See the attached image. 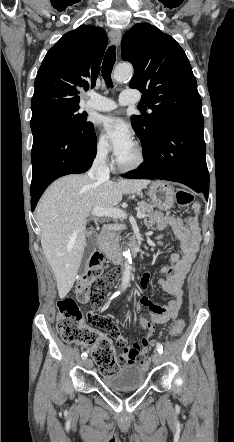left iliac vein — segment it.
Instances as JSON below:
<instances>
[{
    "instance_id": "left-iliac-vein-1",
    "label": "left iliac vein",
    "mask_w": 234,
    "mask_h": 442,
    "mask_svg": "<svg viewBox=\"0 0 234 442\" xmlns=\"http://www.w3.org/2000/svg\"><path fill=\"white\" fill-rule=\"evenodd\" d=\"M152 359H153L154 364L158 365V364H160L161 361H162V356H161V354H160L159 352L156 351V352L154 353Z\"/></svg>"
}]
</instances>
